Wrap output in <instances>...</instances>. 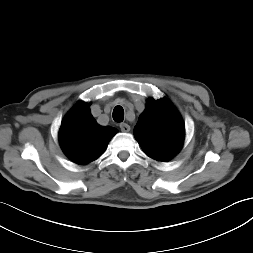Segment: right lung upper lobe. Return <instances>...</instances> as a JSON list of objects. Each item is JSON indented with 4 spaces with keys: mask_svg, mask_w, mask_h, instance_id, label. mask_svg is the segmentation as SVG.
<instances>
[{
    "mask_svg": "<svg viewBox=\"0 0 253 253\" xmlns=\"http://www.w3.org/2000/svg\"><path fill=\"white\" fill-rule=\"evenodd\" d=\"M89 106V103H77L65 117L59 131L64 153L77 164H87L100 157L117 133L115 128L98 125Z\"/></svg>",
    "mask_w": 253,
    "mask_h": 253,
    "instance_id": "right-lung-upper-lobe-1",
    "label": "right lung upper lobe"
}]
</instances>
